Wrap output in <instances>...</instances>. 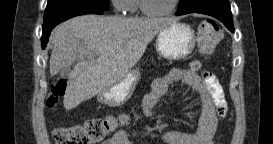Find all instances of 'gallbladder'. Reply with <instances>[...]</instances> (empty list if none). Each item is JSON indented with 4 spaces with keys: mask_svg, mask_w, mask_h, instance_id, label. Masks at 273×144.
<instances>
[{
    "mask_svg": "<svg viewBox=\"0 0 273 144\" xmlns=\"http://www.w3.org/2000/svg\"><path fill=\"white\" fill-rule=\"evenodd\" d=\"M71 70H73V65H66V68H64L63 71H61V79L62 80H69V73H71Z\"/></svg>",
    "mask_w": 273,
    "mask_h": 144,
    "instance_id": "bac80fb5",
    "label": "gallbladder"
}]
</instances>
